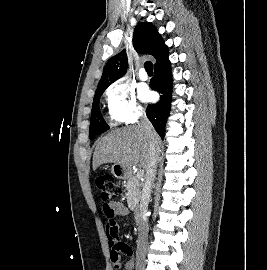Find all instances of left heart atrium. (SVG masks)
<instances>
[{
    "label": "left heart atrium",
    "instance_id": "left-heart-atrium-1",
    "mask_svg": "<svg viewBox=\"0 0 267 270\" xmlns=\"http://www.w3.org/2000/svg\"><path fill=\"white\" fill-rule=\"evenodd\" d=\"M138 93L142 101L148 102L152 100V93L146 86H141L138 90Z\"/></svg>",
    "mask_w": 267,
    "mask_h": 270
}]
</instances>
